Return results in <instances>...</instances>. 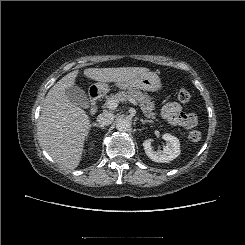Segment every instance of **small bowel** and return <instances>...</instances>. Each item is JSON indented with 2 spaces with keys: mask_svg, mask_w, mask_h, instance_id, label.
<instances>
[{
  "mask_svg": "<svg viewBox=\"0 0 245 245\" xmlns=\"http://www.w3.org/2000/svg\"><path fill=\"white\" fill-rule=\"evenodd\" d=\"M163 117L173 125L185 129H191L198 123V117L194 113H184L180 104L176 102L167 103L162 110Z\"/></svg>",
  "mask_w": 245,
  "mask_h": 245,
  "instance_id": "c3829d8e",
  "label": "small bowel"
}]
</instances>
